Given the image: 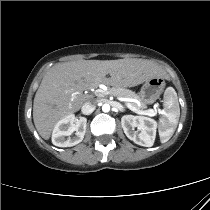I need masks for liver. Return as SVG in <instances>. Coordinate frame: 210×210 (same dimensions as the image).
Masks as SVG:
<instances>
[{"label":"liver","mask_w":210,"mask_h":210,"mask_svg":"<svg viewBox=\"0 0 210 210\" xmlns=\"http://www.w3.org/2000/svg\"><path fill=\"white\" fill-rule=\"evenodd\" d=\"M110 75L109 78L106 75ZM156 64L137 58L118 60H77L57 64L43 77L35 94L33 120L42 138L49 139L56 123L80 110L90 100L84 90L100 84L133 87L161 77Z\"/></svg>","instance_id":"obj_1"}]
</instances>
